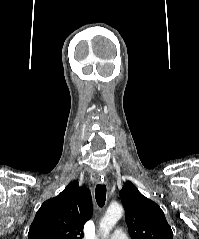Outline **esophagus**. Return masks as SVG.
Here are the masks:
<instances>
[{
	"mask_svg": "<svg viewBox=\"0 0 199 239\" xmlns=\"http://www.w3.org/2000/svg\"><path fill=\"white\" fill-rule=\"evenodd\" d=\"M99 182L104 184L107 182V178H106V175H99Z\"/></svg>",
	"mask_w": 199,
	"mask_h": 239,
	"instance_id": "esophagus-1",
	"label": "esophagus"
}]
</instances>
